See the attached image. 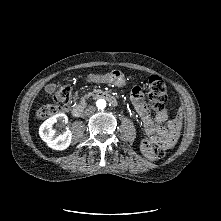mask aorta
<instances>
[{"mask_svg": "<svg viewBox=\"0 0 221 221\" xmlns=\"http://www.w3.org/2000/svg\"><path fill=\"white\" fill-rule=\"evenodd\" d=\"M97 108L104 109L106 107V101L104 99H99L96 102Z\"/></svg>", "mask_w": 221, "mask_h": 221, "instance_id": "762f6f07", "label": "aorta"}]
</instances>
